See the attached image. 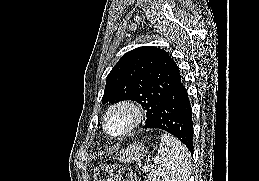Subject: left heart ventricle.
Listing matches in <instances>:
<instances>
[{"label":"left heart ventricle","mask_w":259,"mask_h":181,"mask_svg":"<svg viewBox=\"0 0 259 181\" xmlns=\"http://www.w3.org/2000/svg\"><path fill=\"white\" fill-rule=\"evenodd\" d=\"M129 121V115L125 111H118L109 118V129L111 132H119L123 130Z\"/></svg>","instance_id":"obj_1"}]
</instances>
